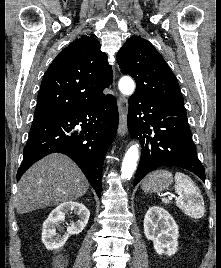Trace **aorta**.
<instances>
[{"label":"aorta","mask_w":221,"mask_h":268,"mask_svg":"<svg viewBox=\"0 0 221 268\" xmlns=\"http://www.w3.org/2000/svg\"><path fill=\"white\" fill-rule=\"evenodd\" d=\"M119 90L125 95H131L134 92L135 84L131 77L124 76L120 79ZM139 158V150L137 145H132L123 159L121 167V178L129 180L136 170L137 161Z\"/></svg>","instance_id":"aorta-1"}]
</instances>
